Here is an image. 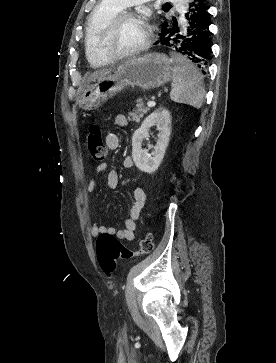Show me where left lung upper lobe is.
Wrapping results in <instances>:
<instances>
[{
  "mask_svg": "<svg viewBox=\"0 0 276 363\" xmlns=\"http://www.w3.org/2000/svg\"><path fill=\"white\" fill-rule=\"evenodd\" d=\"M162 25H167V22H165L164 24H162Z\"/></svg>",
  "mask_w": 276,
  "mask_h": 363,
  "instance_id": "left-lung-upper-lobe-1",
  "label": "left lung upper lobe"
}]
</instances>
